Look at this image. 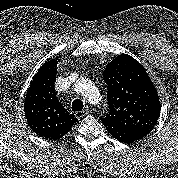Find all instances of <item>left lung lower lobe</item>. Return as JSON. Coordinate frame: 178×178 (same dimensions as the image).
<instances>
[{
    "mask_svg": "<svg viewBox=\"0 0 178 178\" xmlns=\"http://www.w3.org/2000/svg\"><path fill=\"white\" fill-rule=\"evenodd\" d=\"M109 134L123 143H132L146 136L150 131L142 128L121 125L107 120H101Z\"/></svg>",
    "mask_w": 178,
    "mask_h": 178,
    "instance_id": "obj_1",
    "label": "left lung lower lobe"
}]
</instances>
